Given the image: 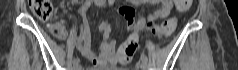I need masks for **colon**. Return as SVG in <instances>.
Returning a JSON list of instances; mask_svg holds the SVG:
<instances>
[{
	"label": "colon",
	"mask_w": 238,
	"mask_h": 70,
	"mask_svg": "<svg viewBox=\"0 0 238 70\" xmlns=\"http://www.w3.org/2000/svg\"><path fill=\"white\" fill-rule=\"evenodd\" d=\"M192 0H174V7H177V12H189V6ZM29 7L32 13L42 20H47L53 13V7L50 0H30ZM147 28L157 35L170 34L175 26L174 19H169L163 23V21H155V19H146ZM57 28L54 29V33H58ZM138 44V34L129 33L125 36V42H120L116 54V59H120L121 63H128L135 54L136 46Z\"/></svg>",
	"instance_id": "obj_1"
}]
</instances>
